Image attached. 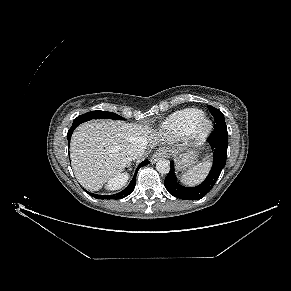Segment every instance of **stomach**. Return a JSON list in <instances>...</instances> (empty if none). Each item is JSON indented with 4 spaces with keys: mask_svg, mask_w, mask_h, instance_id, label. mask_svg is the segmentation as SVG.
I'll return each mask as SVG.
<instances>
[{
    "mask_svg": "<svg viewBox=\"0 0 291 291\" xmlns=\"http://www.w3.org/2000/svg\"><path fill=\"white\" fill-rule=\"evenodd\" d=\"M176 160L177 170L182 171L191 167L196 160V156L192 151H186L184 153L173 152Z\"/></svg>",
    "mask_w": 291,
    "mask_h": 291,
    "instance_id": "stomach-1",
    "label": "stomach"
}]
</instances>
